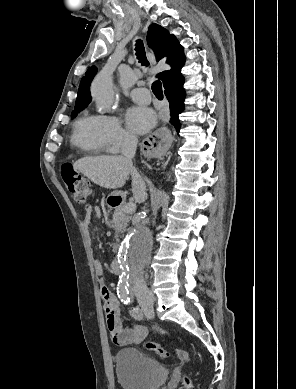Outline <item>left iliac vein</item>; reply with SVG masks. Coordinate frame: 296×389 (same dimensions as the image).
<instances>
[{"mask_svg":"<svg viewBox=\"0 0 296 389\" xmlns=\"http://www.w3.org/2000/svg\"><path fill=\"white\" fill-rule=\"evenodd\" d=\"M140 305L147 318L151 319L154 317L153 303L151 301H142Z\"/></svg>","mask_w":296,"mask_h":389,"instance_id":"left-iliac-vein-1","label":"left iliac vein"}]
</instances>
